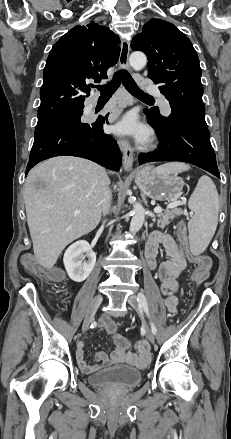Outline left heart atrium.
Returning <instances> with one entry per match:
<instances>
[{"instance_id":"left-heart-atrium-1","label":"left heart atrium","mask_w":231,"mask_h":439,"mask_svg":"<svg viewBox=\"0 0 231 439\" xmlns=\"http://www.w3.org/2000/svg\"><path fill=\"white\" fill-rule=\"evenodd\" d=\"M114 131L118 134L132 135L139 141H146L149 138L148 129L137 121L133 113L123 116L114 126Z\"/></svg>"}]
</instances>
